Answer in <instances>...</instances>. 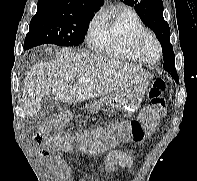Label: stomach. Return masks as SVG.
Listing matches in <instances>:
<instances>
[{
    "label": "stomach",
    "mask_w": 197,
    "mask_h": 181,
    "mask_svg": "<svg viewBox=\"0 0 197 181\" xmlns=\"http://www.w3.org/2000/svg\"><path fill=\"white\" fill-rule=\"evenodd\" d=\"M148 85V80L140 81L131 87L106 95L100 102H93L90 106L86 105V109L90 113H97L101 109V104L105 102L114 109L135 112L140 108Z\"/></svg>",
    "instance_id": "1"
}]
</instances>
